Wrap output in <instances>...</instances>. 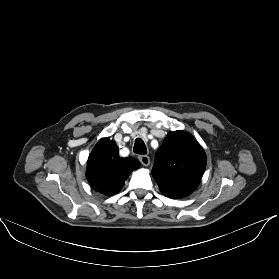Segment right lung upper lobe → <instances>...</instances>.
Returning <instances> with one entry per match:
<instances>
[{"label": "right lung upper lobe", "instance_id": "1", "mask_svg": "<svg viewBox=\"0 0 279 279\" xmlns=\"http://www.w3.org/2000/svg\"><path fill=\"white\" fill-rule=\"evenodd\" d=\"M139 167L140 162L136 158H121L116 143L103 138L89 155L86 177L94 190L112 196L123 187L131 172Z\"/></svg>", "mask_w": 279, "mask_h": 279}]
</instances>
